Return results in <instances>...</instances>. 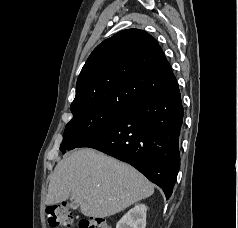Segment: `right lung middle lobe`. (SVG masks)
<instances>
[{
    "label": "right lung middle lobe",
    "mask_w": 238,
    "mask_h": 228,
    "mask_svg": "<svg viewBox=\"0 0 238 228\" xmlns=\"http://www.w3.org/2000/svg\"><path fill=\"white\" fill-rule=\"evenodd\" d=\"M127 106L89 107L73 113L72 120L64 130L60 150H72L92 138L120 117Z\"/></svg>",
    "instance_id": "right-lung-middle-lobe-1"
}]
</instances>
